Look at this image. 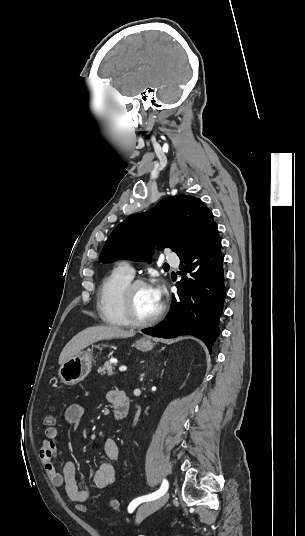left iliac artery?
<instances>
[{
	"label": "left iliac artery",
	"mask_w": 305,
	"mask_h": 536,
	"mask_svg": "<svg viewBox=\"0 0 305 536\" xmlns=\"http://www.w3.org/2000/svg\"><path fill=\"white\" fill-rule=\"evenodd\" d=\"M168 488H169L168 481L166 479H163L162 485H161L159 490H157L156 492H154L152 494L142 496V497H139V498L133 500L130 503L129 507H128V511L131 513V512L134 511L136 506H138L140 503L155 500V499L159 498L160 496H162L163 494H165L167 492Z\"/></svg>",
	"instance_id": "1"
}]
</instances>
